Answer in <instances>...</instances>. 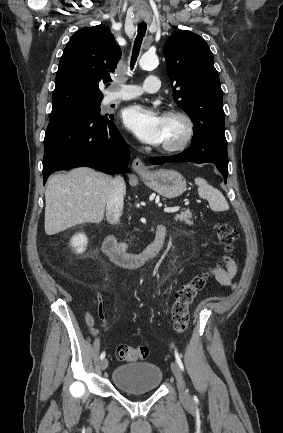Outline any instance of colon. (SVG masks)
I'll return each mask as SVG.
<instances>
[{
    "label": "colon",
    "mask_w": 283,
    "mask_h": 433,
    "mask_svg": "<svg viewBox=\"0 0 283 433\" xmlns=\"http://www.w3.org/2000/svg\"><path fill=\"white\" fill-rule=\"evenodd\" d=\"M215 231L226 251L232 252L233 245L239 237L237 229L227 223H216ZM210 277V272H203L191 278L176 291L175 301L172 305V319L173 327L177 334H183L186 331L190 319V306ZM148 354L149 349L142 345L131 346L121 344L116 349V356L123 361L142 360Z\"/></svg>",
    "instance_id": "obj_1"
}]
</instances>
